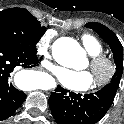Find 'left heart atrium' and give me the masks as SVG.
<instances>
[{"mask_svg":"<svg viewBox=\"0 0 124 124\" xmlns=\"http://www.w3.org/2000/svg\"><path fill=\"white\" fill-rule=\"evenodd\" d=\"M56 77L63 86L77 91L86 90L93 83V76L87 70L57 69Z\"/></svg>","mask_w":124,"mask_h":124,"instance_id":"obj_1","label":"left heart atrium"}]
</instances>
